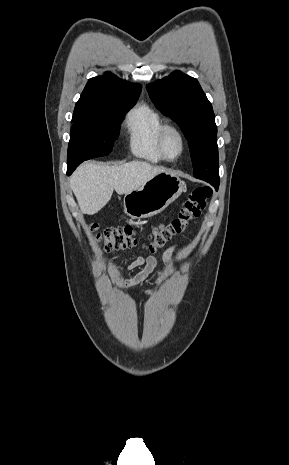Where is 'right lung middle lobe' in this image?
Masks as SVG:
<instances>
[{
	"instance_id": "obj_1",
	"label": "right lung middle lobe",
	"mask_w": 289,
	"mask_h": 465,
	"mask_svg": "<svg viewBox=\"0 0 289 465\" xmlns=\"http://www.w3.org/2000/svg\"><path fill=\"white\" fill-rule=\"evenodd\" d=\"M136 101L115 102L100 114L99 120L74 122L68 146V162L107 155L119 136V124Z\"/></svg>"
}]
</instances>
